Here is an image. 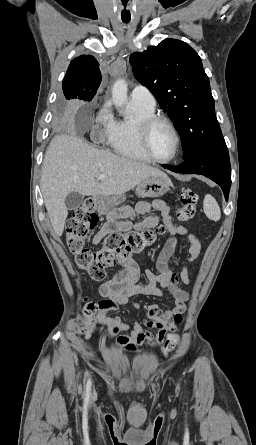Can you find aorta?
Here are the masks:
<instances>
[{
    "instance_id": "obj_1",
    "label": "aorta",
    "mask_w": 256,
    "mask_h": 445,
    "mask_svg": "<svg viewBox=\"0 0 256 445\" xmlns=\"http://www.w3.org/2000/svg\"><path fill=\"white\" fill-rule=\"evenodd\" d=\"M127 91L128 87L126 81L122 78L116 80L112 87V101L115 107L120 108L125 106L128 101Z\"/></svg>"
}]
</instances>
